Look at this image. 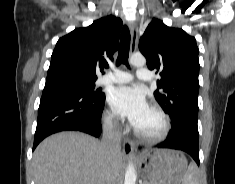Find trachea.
Masks as SVG:
<instances>
[{
	"instance_id": "obj_1",
	"label": "trachea",
	"mask_w": 235,
	"mask_h": 184,
	"mask_svg": "<svg viewBox=\"0 0 235 184\" xmlns=\"http://www.w3.org/2000/svg\"><path fill=\"white\" fill-rule=\"evenodd\" d=\"M130 48V33L128 27L125 25L122 29L120 38V47L117 58V65L126 64L128 65V54Z\"/></svg>"
}]
</instances>
